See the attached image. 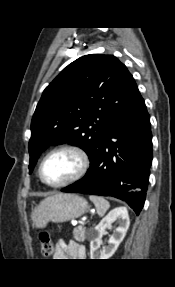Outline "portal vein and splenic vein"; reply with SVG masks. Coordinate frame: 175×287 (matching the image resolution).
<instances>
[{
    "instance_id": "18ae733b",
    "label": "portal vein and splenic vein",
    "mask_w": 175,
    "mask_h": 287,
    "mask_svg": "<svg viewBox=\"0 0 175 287\" xmlns=\"http://www.w3.org/2000/svg\"><path fill=\"white\" fill-rule=\"evenodd\" d=\"M84 221H85V220H83V221L81 222V224H84Z\"/></svg>"
}]
</instances>
